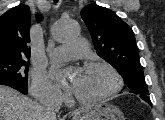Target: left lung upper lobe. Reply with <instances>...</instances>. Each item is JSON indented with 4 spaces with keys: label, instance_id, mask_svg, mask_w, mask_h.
I'll return each instance as SVG.
<instances>
[{
    "label": "left lung upper lobe",
    "instance_id": "obj_1",
    "mask_svg": "<svg viewBox=\"0 0 165 120\" xmlns=\"http://www.w3.org/2000/svg\"><path fill=\"white\" fill-rule=\"evenodd\" d=\"M81 17L97 54L121 74L132 92L151 103L132 29L113 11L98 5L84 7Z\"/></svg>",
    "mask_w": 165,
    "mask_h": 120
}]
</instances>
